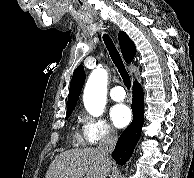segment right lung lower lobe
I'll return each mask as SVG.
<instances>
[{"label": "right lung lower lobe", "instance_id": "right-lung-lower-lobe-1", "mask_svg": "<svg viewBox=\"0 0 194 178\" xmlns=\"http://www.w3.org/2000/svg\"><path fill=\"white\" fill-rule=\"evenodd\" d=\"M133 121L119 137L112 153L114 160L123 165L130 158L140 138L141 129L144 123V96L140 84L135 81L133 84L132 100Z\"/></svg>", "mask_w": 194, "mask_h": 178}]
</instances>
